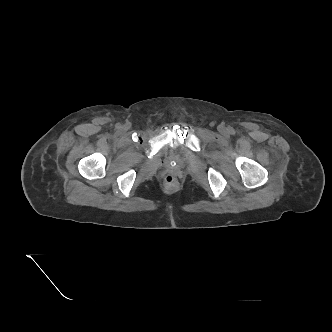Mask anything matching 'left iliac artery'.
Returning <instances> with one entry per match:
<instances>
[{
  "instance_id": "obj_1",
  "label": "left iliac artery",
  "mask_w": 332,
  "mask_h": 332,
  "mask_svg": "<svg viewBox=\"0 0 332 332\" xmlns=\"http://www.w3.org/2000/svg\"><path fill=\"white\" fill-rule=\"evenodd\" d=\"M229 132H230L231 134H233V133H234V130H233V129H230Z\"/></svg>"
}]
</instances>
